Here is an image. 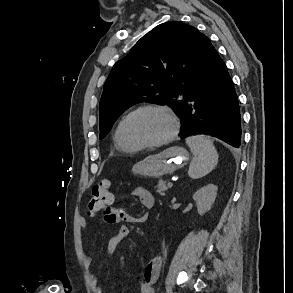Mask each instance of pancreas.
Masks as SVG:
<instances>
[{
  "label": "pancreas",
  "instance_id": "pancreas-1",
  "mask_svg": "<svg viewBox=\"0 0 293 293\" xmlns=\"http://www.w3.org/2000/svg\"><path fill=\"white\" fill-rule=\"evenodd\" d=\"M157 192L161 196H165L166 192L169 189L168 182L164 180H159L158 184L155 186Z\"/></svg>",
  "mask_w": 293,
  "mask_h": 293
}]
</instances>
